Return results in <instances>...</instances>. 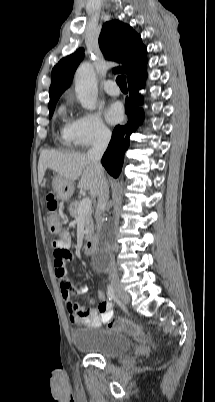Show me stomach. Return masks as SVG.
Segmentation results:
<instances>
[{
    "label": "stomach",
    "mask_w": 215,
    "mask_h": 402,
    "mask_svg": "<svg viewBox=\"0 0 215 402\" xmlns=\"http://www.w3.org/2000/svg\"><path fill=\"white\" fill-rule=\"evenodd\" d=\"M52 188L56 197L64 201L68 200L74 192L73 182L63 178L58 174L53 177Z\"/></svg>",
    "instance_id": "0dacf381"
}]
</instances>
